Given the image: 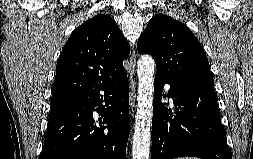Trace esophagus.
Here are the masks:
<instances>
[{"instance_id": "1", "label": "esophagus", "mask_w": 253, "mask_h": 159, "mask_svg": "<svg viewBox=\"0 0 253 159\" xmlns=\"http://www.w3.org/2000/svg\"><path fill=\"white\" fill-rule=\"evenodd\" d=\"M130 66V107L131 111H134L136 100V82L134 80L135 68H136V54L132 53L129 61Z\"/></svg>"}]
</instances>
